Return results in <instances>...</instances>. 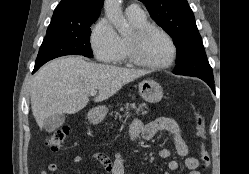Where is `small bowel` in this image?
I'll use <instances>...</instances> for the list:
<instances>
[{
  "label": "small bowel",
  "instance_id": "small-bowel-1",
  "mask_svg": "<svg viewBox=\"0 0 249 174\" xmlns=\"http://www.w3.org/2000/svg\"><path fill=\"white\" fill-rule=\"evenodd\" d=\"M168 132L172 137V141L175 147V153L180 157H185L184 165L190 170V174H200L197 170L199 166V161L195 157L188 156V146L184 140L182 131L177 122L168 117L158 118L146 125H144L140 120L135 119L131 122L129 127V134L132 141L136 142L139 139L150 140L158 132ZM159 156L161 158H170L173 152L169 149H161L159 151ZM93 158L98 161L104 168L107 174H124V162L122 155L117 153L113 159L108 157L103 153H95ZM84 157L81 155H76L72 158L74 164L82 163ZM179 162L176 160H171L168 167L172 171L179 169ZM59 166L56 163H51L48 166V171L51 173L57 172ZM48 171H42L41 174H48ZM140 174H146L144 172Z\"/></svg>",
  "mask_w": 249,
  "mask_h": 174
}]
</instances>
